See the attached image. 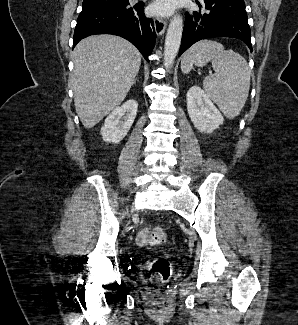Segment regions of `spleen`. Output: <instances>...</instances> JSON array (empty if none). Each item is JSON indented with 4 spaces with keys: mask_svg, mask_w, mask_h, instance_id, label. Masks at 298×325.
<instances>
[{
    "mask_svg": "<svg viewBox=\"0 0 298 325\" xmlns=\"http://www.w3.org/2000/svg\"><path fill=\"white\" fill-rule=\"evenodd\" d=\"M183 58L182 72H190L193 64L204 66L211 60L215 74L204 78L203 88L224 116H238L250 88V68L244 56L234 50H225L216 40H198L186 50Z\"/></svg>",
    "mask_w": 298,
    "mask_h": 325,
    "instance_id": "spleen-1",
    "label": "spleen"
}]
</instances>
